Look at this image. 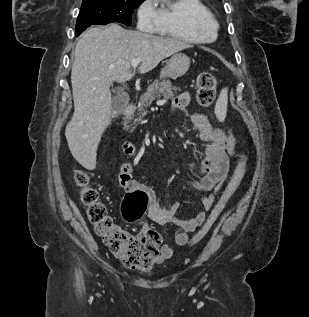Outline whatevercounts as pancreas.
<instances>
[{
	"mask_svg": "<svg viewBox=\"0 0 309 317\" xmlns=\"http://www.w3.org/2000/svg\"><path fill=\"white\" fill-rule=\"evenodd\" d=\"M177 90H179V88L172 86L169 80H156L152 84H150L146 92L143 95H141L138 104V117L135 119V122H139L142 119V117L146 115V109L151 105V103L156 98H172ZM128 128L129 127H127V129Z\"/></svg>",
	"mask_w": 309,
	"mask_h": 317,
	"instance_id": "obj_1",
	"label": "pancreas"
}]
</instances>
